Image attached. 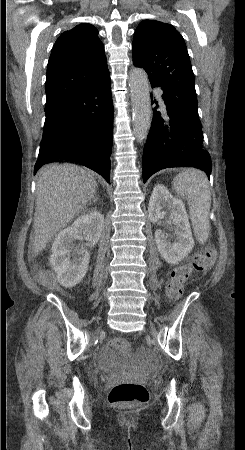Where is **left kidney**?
<instances>
[{
    "label": "left kidney",
    "mask_w": 245,
    "mask_h": 450,
    "mask_svg": "<svg viewBox=\"0 0 245 450\" xmlns=\"http://www.w3.org/2000/svg\"><path fill=\"white\" fill-rule=\"evenodd\" d=\"M169 212L175 225L174 241L162 230L155 232V242L160 255L170 264H178L194 247V240L184 203L173 197L163 185H156L149 200V219L156 223Z\"/></svg>",
    "instance_id": "left-kidney-1"
}]
</instances>
